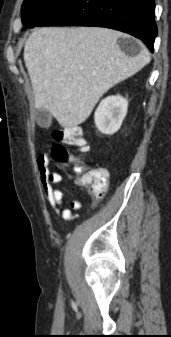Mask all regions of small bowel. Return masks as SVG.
I'll return each mask as SVG.
<instances>
[{
	"instance_id": "1",
	"label": "small bowel",
	"mask_w": 171,
	"mask_h": 337,
	"mask_svg": "<svg viewBox=\"0 0 171 337\" xmlns=\"http://www.w3.org/2000/svg\"><path fill=\"white\" fill-rule=\"evenodd\" d=\"M51 158L48 153H39L36 157V166L45 199L53 212L60 218L66 221H73L79 217L78 214H73L72 210H80L83 203L79 199H73L70 202V208L64 204L63 193L55 185L63 182L64 177L60 172H51L49 170ZM75 172L81 175L84 169L80 166L75 168ZM90 195V192L87 191Z\"/></svg>"
}]
</instances>
